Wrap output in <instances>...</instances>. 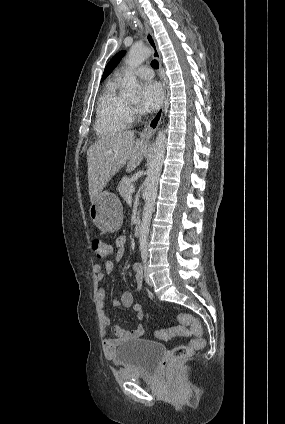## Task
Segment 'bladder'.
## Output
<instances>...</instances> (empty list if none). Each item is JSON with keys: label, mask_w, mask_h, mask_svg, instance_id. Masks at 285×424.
Listing matches in <instances>:
<instances>
[{"label": "bladder", "mask_w": 285, "mask_h": 424, "mask_svg": "<svg viewBox=\"0 0 285 424\" xmlns=\"http://www.w3.org/2000/svg\"><path fill=\"white\" fill-rule=\"evenodd\" d=\"M166 352L165 346L148 339H132L115 350L116 362L130 377L153 373Z\"/></svg>", "instance_id": "1"}]
</instances>
